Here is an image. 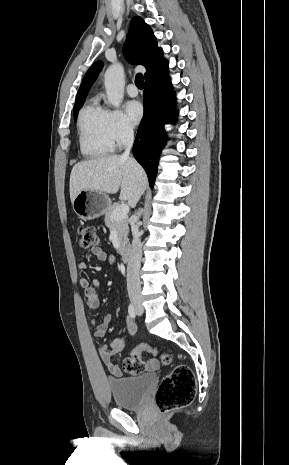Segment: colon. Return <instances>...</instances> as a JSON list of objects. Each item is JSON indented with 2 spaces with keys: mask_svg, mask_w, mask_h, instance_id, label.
Returning a JSON list of instances; mask_svg holds the SVG:
<instances>
[{
  "mask_svg": "<svg viewBox=\"0 0 289 465\" xmlns=\"http://www.w3.org/2000/svg\"><path fill=\"white\" fill-rule=\"evenodd\" d=\"M79 245L82 249H93L99 245L96 229L91 225L82 226L79 230ZM151 351L146 344L134 348L131 355L124 360L123 366L127 371L137 372L142 369L141 353ZM171 362L170 355L163 356V363ZM196 379L193 371L187 365H177L167 374L157 389L155 402L160 413H168L188 406L195 395Z\"/></svg>",
  "mask_w": 289,
  "mask_h": 465,
  "instance_id": "obj_1",
  "label": "colon"
}]
</instances>
